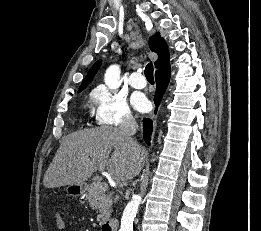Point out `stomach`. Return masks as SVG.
I'll use <instances>...</instances> for the list:
<instances>
[{"label": "stomach", "mask_w": 261, "mask_h": 231, "mask_svg": "<svg viewBox=\"0 0 261 231\" xmlns=\"http://www.w3.org/2000/svg\"><path fill=\"white\" fill-rule=\"evenodd\" d=\"M87 190L86 184H74L67 187V191L74 196H81Z\"/></svg>", "instance_id": "obj_1"}]
</instances>
